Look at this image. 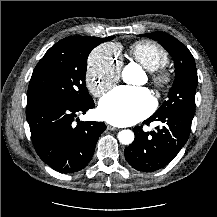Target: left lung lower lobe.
Listing matches in <instances>:
<instances>
[{"label": "left lung lower lobe", "instance_id": "obj_1", "mask_svg": "<svg viewBox=\"0 0 217 217\" xmlns=\"http://www.w3.org/2000/svg\"><path fill=\"white\" fill-rule=\"evenodd\" d=\"M194 115L171 111L152 115L143 124L160 121L163 127L157 131L144 132L143 126L134 128L135 140L124 154L128 163L136 170L153 172L166 166L178 154L189 138Z\"/></svg>", "mask_w": 217, "mask_h": 217}]
</instances>
